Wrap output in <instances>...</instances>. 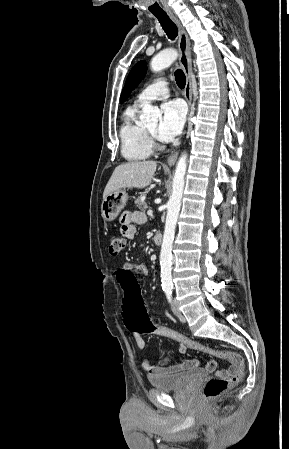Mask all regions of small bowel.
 <instances>
[{"label":"small bowel","instance_id":"small-bowel-1","mask_svg":"<svg viewBox=\"0 0 289 449\" xmlns=\"http://www.w3.org/2000/svg\"><path fill=\"white\" fill-rule=\"evenodd\" d=\"M145 219L146 218L144 214L139 211L124 212L120 218L122 235L128 240H133L134 237L136 236V225L143 224L145 222ZM122 268H131L133 272L139 271L143 274H146L148 272L146 266L136 265L132 263H126L123 265ZM132 334L136 340L138 348L140 350H143L145 348V341L142 335L135 332H132ZM177 342L179 343V352L185 353L186 350L189 348L188 345L182 341ZM171 359L172 356L166 355L161 359V361L157 365L153 364L151 360L145 359L142 362V368L146 372H148L149 375H156L162 373H176L180 371L191 370L199 366V362L196 359H187L181 363L170 364ZM204 367L208 371H214L216 368V363L213 360H208L205 363ZM236 370H237V363L230 362V366L228 368L218 370L216 374L219 376H230L234 374Z\"/></svg>","mask_w":289,"mask_h":449}]
</instances>
